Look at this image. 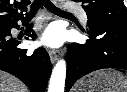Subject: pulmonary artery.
<instances>
[{
	"instance_id": "e3ab8cb5",
	"label": "pulmonary artery",
	"mask_w": 127,
	"mask_h": 92,
	"mask_svg": "<svg viewBox=\"0 0 127 92\" xmlns=\"http://www.w3.org/2000/svg\"><path fill=\"white\" fill-rule=\"evenodd\" d=\"M64 9L68 12H75L79 16L81 22L87 23V14L77 6L67 3L64 5Z\"/></svg>"
}]
</instances>
